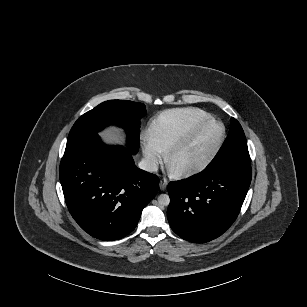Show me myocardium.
<instances>
[{
  "instance_id": "f54148a6",
  "label": "myocardium",
  "mask_w": 307,
  "mask_h": 307,
  "mask_svg": "<svg viewBox=\"0 0 307 307\" xmlns=\"http://www.w3.org/2000/svg\"><path fill=\"white\" fill-rule=\"evenodd\" d=\"M221 123L224 127V134L216 147L213 149V151L202 161L199 163L187 167L185 169H182L180 171H174L171 167L173 160L180 155L183 151L191 147L194 143L197 142V140L201 137V135L207 131L213 124ZM227 139V126L226 124L221 120H210L204 125L197 128L194 132H192L186 139L175 145L173 148H171L167 155H166V165L170 173L176 177V178H186L190 177L192 175L198 174L201 171L205 170L207 167H209L217 158L219 153L221 152L224 143Z\"/></svg>"
}]
</instances>
